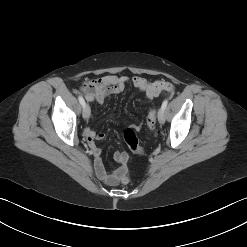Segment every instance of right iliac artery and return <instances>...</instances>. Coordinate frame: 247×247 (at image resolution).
Returning <instances> with one entry per match:
<instances>
[{
  "mask_svg": "<svg viewBox=\"0 0 247 247\" xmlns=\"http://www.w3.org/2000/svg\"><path fill=\"white\" fill-rule=\"evenodd\" d=\"M78 100H79L80 104L84 107L85 106V100L83 99V97L79 96Z\"/></svg>",
  "mask_w": 247,
  "mask_h": 247,
  "instance_id": "1",
  "label": "right iliac artery"
}]
</instances>
